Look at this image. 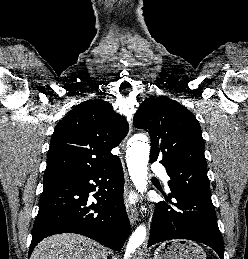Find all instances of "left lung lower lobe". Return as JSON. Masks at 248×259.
<instances>
[{"instance_id": "0a47b994", "label": "left lung lower lobe", "mask_w": 248, "mask_h": 259, "mask_svg": "<svg viewBox=\"0 0 248 259\" xmlns=\"http://www.w3.org/2000/svg\"><path fill=\"white\" fill-rule=\"evenodd\" d=\"M163 196L166 202L156 204L148 245L188 239L210 246L223 259V239L211 198L192 197L175 191Z\"/></svg>"}]
</instances>
